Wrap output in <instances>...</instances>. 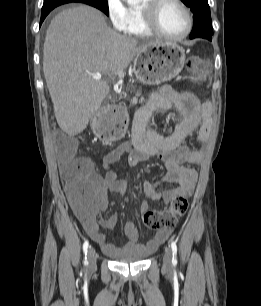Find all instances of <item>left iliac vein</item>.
<instances>
[{"mask_svg": "<svg viewBox=\"0 0 261 306\" xmlns=\"http://www.w3.org/2000/svg\"><path fill=\"white\" fill-rule=\"evenodd\" d=\"M163 267L167 270H170L172 267V250L167 247L163 256Z\"/></svg>", "mask_w": 261, "mask_h": 306, "instance_id": "left-iliac-vein-1", "label": "left iliac vein"}]
</instances>
